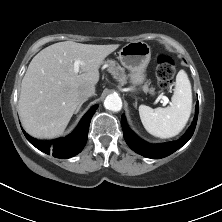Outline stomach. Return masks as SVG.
Returning <instances> with one entry per match:
<instances>
[{
	"label": "stomach",
	"mask_w": 222,
	"mask_h": 222,
	"mask_svg": "<svg viewBox=\"0 0 222 222\" xmlns=\"http://www.w3.org/2000/svg\"><path fill=\"white\" fill-rule=\"evenodd\" d=\"M150 59L151 48L143 41L130 42L119 51V60L129 71L130 82L134 87L144 83Z\"/></svg>",
	"instance_id": "0dacf381"
}]
</instances>
